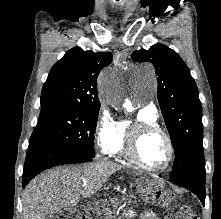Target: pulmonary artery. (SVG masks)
Instances as JSON below:
<instances>
[{
  "label": "pulmonary artery",
  "mask_w": 221,
  "mask_h": 219,
  "mask_svg": "<svg viewBox=\"0 0 221 219\" xmlns=\"http://www.w3.org/2000/svg\"><path fill=\"white\" fill-rule=\"evenodd\" d=\"M143 110H145L153 115L157 114V107L153 103L148 104Z\"/></svg>",
  "instance_id": "e3ab8cb5"
}]
</instances>
